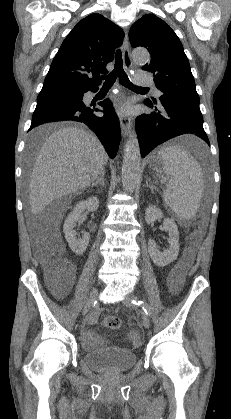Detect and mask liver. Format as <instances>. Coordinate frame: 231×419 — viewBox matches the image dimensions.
<instances>
[{"label":"liver","instance_id":"1","mask_svg":"<svg viewBox=\"0 0 231 419\" xmlns=\"http://www.w3.org/2000/svg\"><path fill=\"white\" fill-rule=\"evenodd\" d=\"M51 126L30 133L37 140ZM108 155L93 134L77 127H61L42 144L33 166L29 202L33 214L53 200L82 191L104 171Z\"/></svg>","mask_w":231,"mask_h":419}]
</instances>
